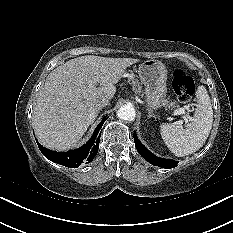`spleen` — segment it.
Masks as SVG:
<instances>
[{"instance_id": "1", "label": "spleen", "mask_w": 233, "mask_h": 233, "mask_svg": "<svg viewBox=\"0 0 233 233\" xmlns=\"http://www.w3.org/2000/svg\"><path fill=\"white\" fill-rule=\"evenodd\" d=\"M198 107L192 122L179 126L176 123H163L161 137L169 150L178 157L198 151L206 142L213 124V110L210 97L204 86L196 91Z\"/></svg>"}]
</instances>
